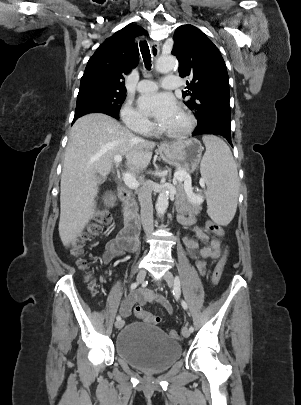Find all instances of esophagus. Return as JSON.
<instances>
[{"label": "esophagus", "mask_w": 301, "mask_h": 405, "mask_svg": "<svg viewBox=\"0 0 301 405\" xmlns=\"http://www.w3.org/2000/svg\"><path fill=\"white\" fill-rule=\"evenodd\" d=\"M150 49H151L152 57H153L154 59H156V58L159 56V52H160V46H159V44H158L157 42L151 41V42H150ZM166 145H167L166 142H161V144H160L161 147H164V146H166Z\"/></svg>", "instance_id": "esophagus-1"}]
</instances>
